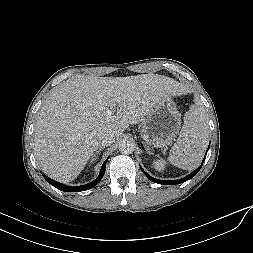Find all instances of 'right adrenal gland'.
Masks as SVG:
<instances>
[{
    "label": "right adrenal gland",
    "mask_w": 253,
    "mask_h": 253,
    "mask_svg": "<svg viewBox=\"0 0 253 253\" xmlns=\"http://www.w3.org/2000/svg\"><path fill=\"white\" fill-rule=\"evenodd\" d=\"M104 147L102 146H99L95 152L93 153L92 157H91V160H90V163H93L97 158H98V154L99 152L103 149Z\"/></svg>",
    "instance_id": "1"
}]
</instances>
